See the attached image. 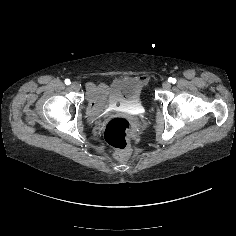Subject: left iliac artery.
Listing matches in <instances>:
<instances>
[{
	"label": "left iliac artery",
	"instance_id": "44dca946",
	"mask_svg": "<svg viewBox=\"0 0 236 236\" xmlns=\"http://www.w3.org/2000/svg\"><path fill=\"white\" fill-rule=\"evenodd\" d=\"M168 81H169V82H172L173 84L176 83V79H175V78H172V77H170V78L168 79Z\"/></svg>",
	"mask_w": 236,
	"mask_h": 236
}]
</instances>
